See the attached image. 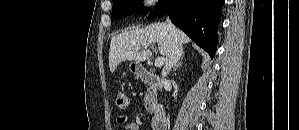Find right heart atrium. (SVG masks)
<instances>
[{"label": "right heart atrium", "mask_w": 299, "mask_h": 130, "mask_svg": "<svg viewBox=\"0 0 299 130\" xmlns=\"http://www.w3.org/2000/svg\"><path fill=\"white\" fill-rule=\"evenodd\" d=\"M155 6V2L154 1H147V6H146V10L147 12H150Z\"/></svg>", "instance_id": "1"}]
</instances>
